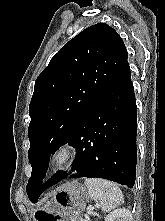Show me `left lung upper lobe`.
I'll list each match as a JSON object with an SVG mask.
<instances>
[{"label":"left lung upper lobe","instance_id":"1","mask_svg":"<svg viewBox=\"0 0 165 221\" xmlns=\"http://www.w3.org/2000/svg\"><path fill=\"white\" fill-rule=\"evenodd\" d=\"M127 58L122 38L99 23L65 44L36 79L29 106L32 173L26 187L32 202L45 182L51 154L69 141Z\"/></svg>","mask_w":165,"mask_h":221}]
</instances>
